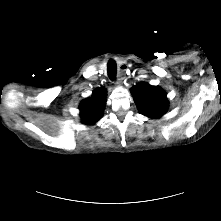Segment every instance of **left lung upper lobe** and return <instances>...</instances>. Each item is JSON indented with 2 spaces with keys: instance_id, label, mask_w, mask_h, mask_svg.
<instances>
[{
  "instance_id": "1",
  "label": "left lung upper lobe",
  "mask_w": 221,
  "mask_h": 221,
  "mask_svg": "<svg viewBox=\"0 0 221 221\" xmlns=\"http://www.w3.org/2000/svg\"><path fill=\"white\" fill-rule=\"evenodd\" d=\"M131 92L141 114L150 118H159L166 113L169 102L162 88L139 83L131 89Z\"/></svg>"
}]
</instances>
